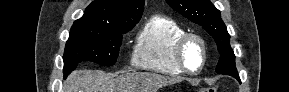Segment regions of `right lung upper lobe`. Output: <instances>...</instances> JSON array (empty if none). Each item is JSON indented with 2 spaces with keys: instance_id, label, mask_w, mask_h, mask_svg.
<instances>
[{
  "instance_id": "right-lung-upper-lobe-1",
  "label": "right lung upper lobe",
  "mask_w": 289,
  "mask_h": 92,
  "mask_svg": "<svg viewBox=\"0 0 289 92\" xmlns=\"http://www.w3.org/2000/svg\"><path fill=\"white\" fill-rule=\"evenodd\" d=\"M145 0H95L74 25L120 27L135 25L144 10Z\"/></svg>"
}]
</instances>
